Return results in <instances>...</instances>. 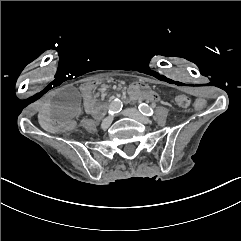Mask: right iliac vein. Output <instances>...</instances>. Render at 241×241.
<instances>
[{
  "label": "right iliac vein",
  "mask_w": 241,
  "mask_h": 241,
  "mask_svg": "<svg viewBox=\"0 0 241 241\" xmlns=\"http://www.w3.org/2000/svg\"><path fill=\"white\" fill-rule=\"evenodd\" d=\"M112 120H113V117H111V116L105 118L101 123V128L107 129L111 125Z\"/></svg>",
  "instance_id": "right-iliac-vein-1"
}]
</instances>
